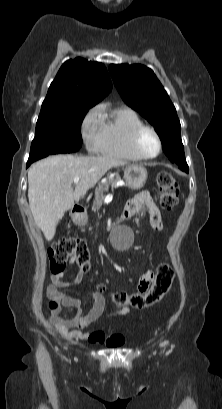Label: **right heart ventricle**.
<instances>
[{"label": "right heart ventricle", "instance_id": "right-heart-ventricle-1", "mask_svg": "<svg viewBox=\"0 0 222 409\" xmlns=\"http://www.w3.org/2000/svg\"><path fill=\"white\" fill-rule=\"evenodd\" d=\"M99 153L118 160H142L132 149L131 137L144 123L138 113L127 106L103 109Z\"/></svg>", "mask_w": 222, "mask_h": 409}]
</instances>
